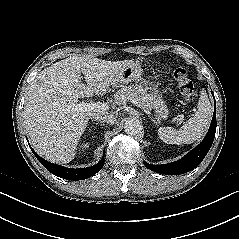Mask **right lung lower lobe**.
I'll return each mask as SVG.
<instances>
[{
	"label": "right lung lower lobe",
	"mask_w": 239,
	"mask_h": 239,
	"mask_svg": "<svg viewBox=\"0 0 239 239\" xmlns=\"http://www.w3.org/2000/svg\"><path fill=\"white\" fill-rule=\"evenodd\" d=\"M29 144V143H28ZM31 148V146H30ZM33 154L36 156V158L41 162V164L52 174L63 178L67 180H83L86 178H89L96 174L103 166H104V154L101 159V161L91 167L88 168H81V169H71V168H66L54 163H50L40 157L32 148H31Z\"/></svg>",
	"instance_id": "98d812e1"
}]
</instances>
